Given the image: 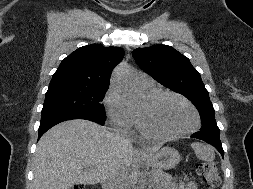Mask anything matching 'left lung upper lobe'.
<instances>
[{"label": "left lung upper lobe", "instance_id": "5c2ea615", "mask_svg": "<svg viewBox=\"0 0 253 189\" xmlns=\"http://www.w3.org/2000/svg\"><path fill=\"white\" fill-rule=\"evenodd\" d=\"M132 55L143 71L165 87L184 95L195 105L201 116L200 130L219 131L208 91L187 57L166 45L138 48Z\"/></svg>", "mask_w": 253, "mask_h": 189}]
</instances>
